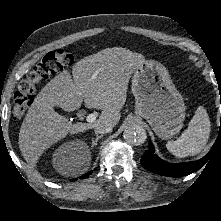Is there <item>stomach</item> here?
Masks as SVG:
<instances>
[{"label":"stomach","instance_id":"obj_1","mask_svg":"<svg viewBox=\"0 0 221 221\" xmlns=\"http://www.w3.org/2000/svg\"><path fill=\"white\" fill-rule=\"evenodd\" d=\"M135 112L150 124L162 140L170 139L183 127L186 107L168 70L154 60L136 67L131 85Z\"/></svg>","mask_w":221,"mask_h":221}]
</instances>
